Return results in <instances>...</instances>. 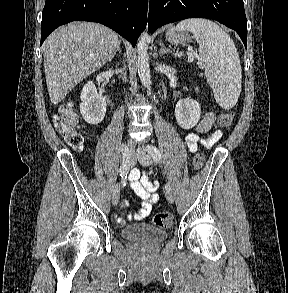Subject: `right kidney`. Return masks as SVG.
I'll use <instances>...</instances> for the list:
<instances>
[{
    "mask_svg": "<svg viewBox=\"0 0 288 293\" xmlns=\"http://www.w3.org/2000/svg\"><path fill=\"white\" fill-rule=\"evenodd\" d=\"M80 112L86 122L92 125L100 123L106 113V99L98 94L92 81H88L81 92Z\"/></svg>",
    "mask_w": 288,
    "mask_h": 293,
    "instance_id": "ca27d5eb",
    "label": "right kidney"
}]
</instances>
